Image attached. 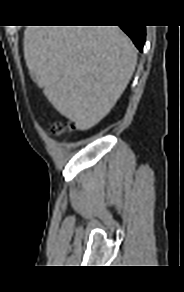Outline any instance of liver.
<instances>
[{"label": "liver", "instance_id": "obj_1", "mask_svg": "<svg viewBox=\"0 0 184 292\" xmlns=\"http://www.w3.org/2000/svg\"><path fill=\"white\" fill-rule=\"evenodd\" d=\"M23 48L38 87L79 130L110 112L137 63L133 43L118 26H28Z\"/></svg>", "mask_w": 184, "mask_h": 292}]
</instances>
